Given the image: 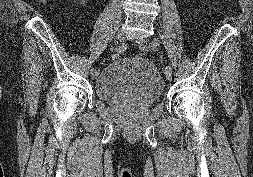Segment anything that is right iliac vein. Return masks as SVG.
Wrapping results in <instances>:
<instances>
[{"instance_id":"obj_1","label":"right iliac vein","mask_w":253,"mask_h":177,"mask_svg":"<svg viewBox=\"0 0 253 177\" xmlns=\"http://www.w3.org/2000/svg\"><path fill=\"white\" fill-rule=\"evenodd\" d=\"M116 39H117L118 41H120V42H123V41H124V33H123V31H122L121 29H119V30L117 31V33H116ZM97 76H98V71H97V70H95L94 73H91V77H92L93 79H95Z\"/></svg>"}]
</instances>
